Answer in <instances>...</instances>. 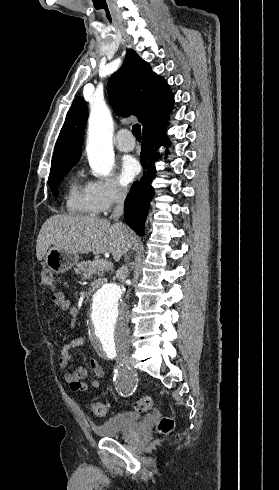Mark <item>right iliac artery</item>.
Masks as SVG:
<instances>
[{"label":"right iliac artery","instance_id":"1","mask_svg":"<svg viewBox=\"0 0 279 490\" xmlns=\"http://www.w3.org/2000/svg\"><path fill=\"white\" fill-rule=\"evenodd\" d=\"M110 358H111V359H114V358H115V355H114V354H111V355H110Z\"/></svg>","mask_w":279,"mask_h":490}]
</instances>
